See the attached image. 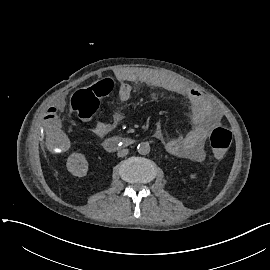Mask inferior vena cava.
I'll use <instances>...</instances> for the list:
<instances>
[{
  "instance_id": "1",
  "label": "inferior vena cava",
  "mask_w": 270,
  "mask_h": 270,
  "mask_svg": "<svg viewBox=\"0 0 270 270\" xmlns=\"http://www.w3.org/2000/svg\"><path fill=\"white\" fill-rule=\"evenodd\" d=\"M128 152H129L128 149H122V150L118 151L117 156L118 157H124V156H126L128 154Z\"/></svg>"
}]
</instances>
